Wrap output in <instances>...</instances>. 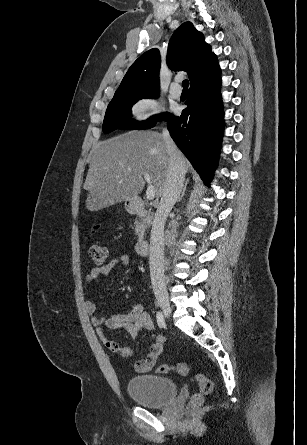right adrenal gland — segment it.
I'll use <instances>...</instances> for the list:
<instances>
[{"instance_id": "2a0ac1e0", "label": "right adrenal gland", "mask_w": 307, "mask_h": 445, "mask_svg": "<svg viewBox=\"0 0 307 445\" xmlns=\"http://www.w3.org/2000/svg\"><path fill=\"white\" fill-rule=\"evenodd\" d=\"M188 182H189V178H186V182H185V184L183 186L182 194H181V196H178L177 202H180V200H182V198H183V196H184V194L186 192V188H187Z\"/></svg>"}]
</instances>
